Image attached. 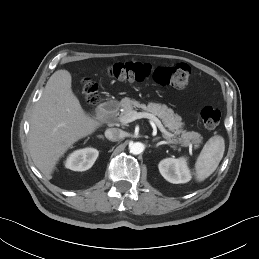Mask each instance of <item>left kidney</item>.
I'll list each match as a JSON object with an SVG mask.
<instances>
[{
	"label": "left kidney",
	"instance_id": "obj_1",
	"mask_svg": "<svg viewBox=\"0 0 259 259\" xmlns=\"http://www.w3.org/2000/svg\"><path fill=\"white\" fill-rule=\"evenodd\" d=\"M158 168L164 179L173 184L187 183L192 178L184 157L166 158L160 161Z\"/></svg>",
	"mask_w": 259,
	"mask_h": 259
}]
</instances>
